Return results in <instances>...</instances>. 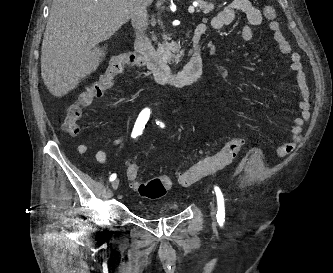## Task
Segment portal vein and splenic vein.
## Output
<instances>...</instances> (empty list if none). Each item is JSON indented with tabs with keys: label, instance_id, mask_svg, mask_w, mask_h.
Instances as JSON below:
<instances>
[{
	"label": "portal vein and splenic vein",
	"instance_id": "1",
	"mask_svg": "<svg viewBox=\"0 0 333 273\" xmlns=\"http://www.w3.org/2000/svg\"><path fill=\"white\" fill-rule=\"evenodd\" d=\"M197 6V4H193V6H189V8H188V11H189V13H193L194 12V7H196Z\"/></svg>",
	"mask_w": 333,
	"mask_h": 273
}]
</instances>
